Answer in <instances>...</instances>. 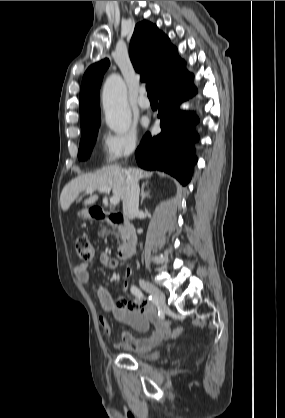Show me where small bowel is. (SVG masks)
I'll return each mask as SVG.
<instances>
[{
  "label": "small bowel",
  "instance_id": "c3829d8e",
  "mask_svg": "<svg viewBox=\"0 0 285 418\" xmlns=\"http://www.w3.org/2000/svg\"><path fill=\"white\" fill-rule=\"evenodd\" d=\"M100 265L109 269H116L118 261L116 258L102 253L98 260ZM88 263H81L75 267V274L77 278L84 284L90 285L92 283L91 275L88 272ZM132 268L126 267L122 276V288L126 291L130 286V277L132 275ZM131 289V288H130ZM97 296L102 308L105 311L112 312L118 319L131 325L137 330H144L148 322H153L155 328L151 335L147 337L138 338L131 333L124 331L122 337L114 341L116 348L126 350H151L158 346L165 340L170 332V324L166 321L155 318L154 308L151 304L143 299L132 298H114L112 292L105 287H100L97 291ZM100 323L106 335L112 334V325L109 319L105 316H100Z\"/></svg>",
  "mask_w": 285,
  "mask_h": 418
}]
</instances>
